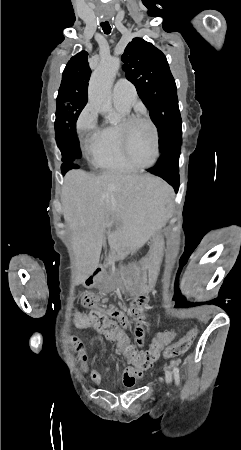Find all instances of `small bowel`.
Segmentation results:
<instances>
[{"instance_id": "obj_1", "label": "small bowel", "mask_w": 241, "mask_h": 450, "mask_svg": "<svg viewBox=\"0 0 241 450\" xmlns=\"http://www.w3.org/2000/svg\"><path fill=\"white\" fill-rule=\"evenodd\" d=\"M91 287H100L108 290L110 285L105 283L104 285L101 283L100 285H91L86 284V289H91ZM99 301V297L91 294L85 293L83 296V303L87 308H92L91 311H102L103 316H107L108 322L107 324H116L112 319H117L121 324L126 325L124 318H129L130 311L129 309H120L117 310L113 306H101L100 308H95L96 304ZM128 305L130 306V310L132 311L133 317H140L138 319L139 323L143 322V317L147 316L149 313L142 309V307H147L149 305V300L147 298H130L128 300ZM117 325V324H116ZM82 326H94V325H82ZM116 333H124L119 327ZM107 333H100V335L96 336L93 339V343H98L103 348L104 352L113 360L117 359L119 356H112L107 347V341L105 340V335ZM144 329L142 324H138L135 329V341L138 346L144 345ZM172 338V336H170ZM173 339V338H172ZM72 343L75 345L77 352L80 354L81 360H86V353L82 343L78 342L76 338H72ZM122 357V356H121ZM132 362V361H128ZM142 376V372L138 369H133L132 367H126L124 370L123 383L127 388H131L135 384L136 378ZM98 375L96 373L93 374V378L96 379Z\"/></svg>"}]
</instances>
